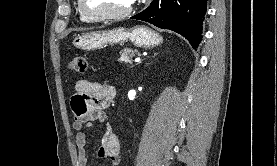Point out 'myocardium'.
Returning <instances> with one entry per match:
<instances>
[{
  "instance_id": "f54148a6",
  "label": "myocardium",
  "mask_w": 277,
  "mask_h": 166,
  "mask_svg": "<svg viewBox=\"0 0 277 166\" xmlns=\"http://www.w3.org/2000/svg\"><path fill=\"white\" fill-rule=\"evenodd\" d=\"M137 4V0H133L132 4L124 11L119 12V13H104V14H99V13H93L89 10L86 9L84 5V0H78V8L79 11L89 18L90 20H95V21H105V20H122L127 17H129L132 12L134 11L135 7Z\"/></svg>"
}]
</instances>
